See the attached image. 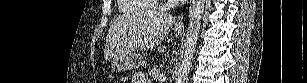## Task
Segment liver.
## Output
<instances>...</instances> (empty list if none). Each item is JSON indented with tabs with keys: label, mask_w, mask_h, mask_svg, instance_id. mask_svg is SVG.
Returning <instances> with one entry per match:
<instances>
[{
	"label": "liver",
	"mask_w": 307,
	"mask_h": 83,
	"mask_svg": "<svg viewBox=\"0 0 307 83\" xmlns=\"http://www.w3.org/2000/svg\"><path fill=\"white\" fill-rule=\"evenodd\" d=\"M175 23L173 17L159 12L126 14L111 25L104 50L105 60L136 50L159 45Z\"/></svg>",
	"instance_id": "obj_1"
}]
</instances>
